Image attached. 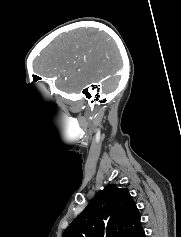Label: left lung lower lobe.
Here are the masks:
<instances>
[{
    "label": "left lung lower lobe",
    "mask_w": 181,
    "mask_h": 237,
    "mask_svg": "<svg viewBox=\"0 0 181 237\" xmlns=\"http://www.w3.org/2000/svg\"><path fill=\"white\" fill-rule=\"evenodd\" d=\"M136 237H145V232L144 231L140 232Z\"/></svg>",
    "instance_id": "left-lung-lower-lobe-1"
}]
</instances>
